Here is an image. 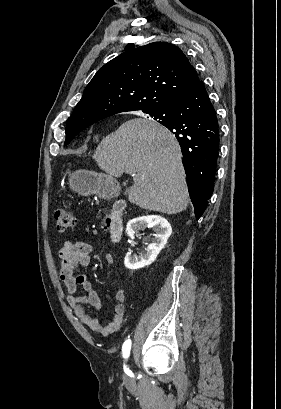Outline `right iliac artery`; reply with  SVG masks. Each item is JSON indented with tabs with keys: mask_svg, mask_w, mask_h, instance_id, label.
<instances>
[{
	"mask_svg": "<svg viewBox=\"0 0 281 409\" xmlns=\"http://www.w3.org/2000/svg\"><path fill=\"white\" fill-rule=\"evenodd\" d=\"M130 348H131V340H126L123 344V357L127 359L129 357L130 353Z\"/></svg>",
	"mask_w": 281,
	"mask_h": 409,
	"instance_id": "right-iliac-artery-1",
	"label": "right iliac artery"
}]
</instances>
